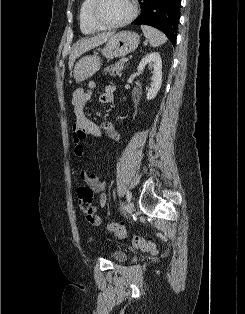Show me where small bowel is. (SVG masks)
I'll list each match as a JSON object with an SVG mask.
<instances>
[{"label":"small bowel","mask_w":245,"mask_h":314,"mask_svg":"<svg viewBox=\"0 0 245 314\" xmlns=\"http://www.w3.org/2000/svg\"><path fill=\"white\" fill-rule=\"evenodd\" d=\"M95 82H89L87 87H78L72 94V113L74 116L73 124V154L81 157L84 152L83 142L87 137L103 138L109 137L118 141L121 137L119 130L111 123L98 124L85 116L84 109L92 97L95 89ZM114 99V87L106 85L104 91L99 96L101 103H111ZM80 178L85 181L97 194H99V205L106 206L107 197L105 194L106 183L93 173H89L83 166L78 167ZM86 219L93 226L102 223V218L96 214V208L90 214H86Z\"/></svg>","instance_id":"obj_1"}]
</instances>
